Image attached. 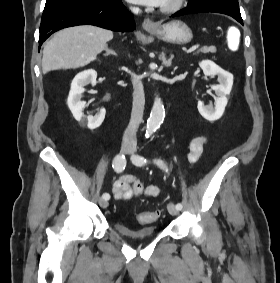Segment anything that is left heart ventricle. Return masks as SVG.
Segmentation results:
<instances>
[{
	"instance_id": "b2bd125f",
	"label": "left heart ventricle",
	"mask_w": 280,
	"mask_h": 283,
	"mask_svg": "<svg viewBox=\"0 0 280 283\" xmlns=\"http://www.w3.org/2000/svg\"><path fill=\"white\" fill-rule=\"evenodd\" d=\"M171 0H166L165 2H164V4H167V3H169Z\"/></svg>"
}]
</instances>
